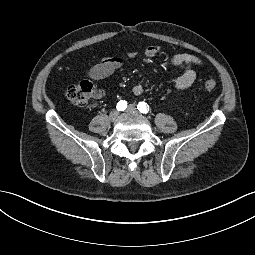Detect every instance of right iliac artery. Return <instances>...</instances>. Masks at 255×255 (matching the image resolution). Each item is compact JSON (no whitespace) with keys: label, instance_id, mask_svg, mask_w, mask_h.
Masks as SVG:
<instances>
[{"label":"right iliac artery","instance_id":"82829eb1","mask_svg":"<svg viewBox=\"0 0 255 255\" xmlns=\"http://www.w3.org/2000/svg\"><path fill=\"white\" fill-rule=\"evenodd\" d=\"M127 108V102L125 100H121L117 103L116 109L118 111H123Z\"/></svg>","mask_w":255,"mask_h":255}]
</instances>
